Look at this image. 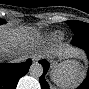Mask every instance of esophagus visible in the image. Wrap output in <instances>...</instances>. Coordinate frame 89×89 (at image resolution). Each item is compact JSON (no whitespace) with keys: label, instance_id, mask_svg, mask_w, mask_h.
Wrapping results in <instances>:
<instances>
[{"label":"esophagus","instance_id":"1","mask_svg":"<svg viewBox=\"0 0 89 89\" xmlns=\"http://www.w3.org/2000/svg\"><path fill=\"white\" fill-rule=\"evenodd\" d=\"M38 59H39V55H33L32 56V60L34 61V62H37L38 61Z\"/></svg>","mask_w":89,"mask_h":89}]
</instances>
